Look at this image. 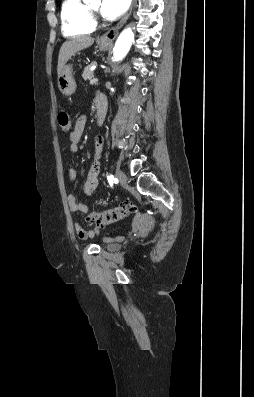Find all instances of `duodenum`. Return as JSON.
<instances>
[{"label": "duodenum", "instance_id": "obj_1", "mask_svg": "<svg viewBox=\"0 0 254 397\" xmlns=\"http://www.w3.org/2000/svg\"><path fill=\"white\" fill-rule=\"evenodd\" d=\"M107 113V99L105 95L99 94L96 99V121L100 126L103 124Z\"/></svg>", "mask_w": 254, "mask_h": 397}]
</instances>
